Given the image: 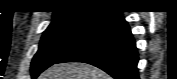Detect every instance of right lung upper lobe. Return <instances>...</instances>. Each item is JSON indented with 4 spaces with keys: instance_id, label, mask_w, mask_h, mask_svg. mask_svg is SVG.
Returning <instances> with one entry per match:
<instances>
[{
    "instance_id": "right-lung-upper-lobe-1",
    "label": "right lung upper lobe",
    "mask_w": 177,
    "mask_h": 79,
    "mask_svg": "<svg viewBox=\"0 0 177 79\" xmlns=\"http://www.w3.org/2000/svg\"><path fill=\"white\" fill-rule=\"evenodd\" d=\"M110 12L113 11L107 10L101 1L76 0L67 2V4L60 10L54 12L52 23L82 19L86 17H103Z\"/></svg>"
}]
</instances>
